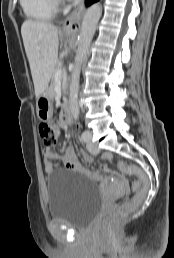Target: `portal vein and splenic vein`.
<instances>
[{
  "mask_svg": "<svg viewBox=\"0 0 174 258\" xmlns=\"http://www.w3.org/2000/svg\"><path fill=\"white\" fill-rule=\"evenodd\" d=\"M61 75H62V70L61 69L57 70L55 73V77L59 78V77H61Z\"/></svg>",
  "mask_w": 174,
  "mask_h": 258,
  "instance_id": "1",
  "label": "portal vein and splenic vein"
}]
</instances>
